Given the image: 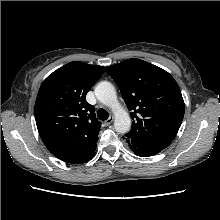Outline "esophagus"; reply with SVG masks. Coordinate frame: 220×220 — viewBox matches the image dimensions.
<instances>
[{
	"instance_id": "1",
	"label": "esophagus",
	"mask_w": 220,
	"mask_h": 220,
	"mask_svg": "<svg viewBox=\"0 0 220 220\" xmlns=\"http://www.w3.org/2000/svg\"><path fill=\"white\" fill-rule=\"evenodd\" d=\"M113 116H110L107 120L104 121L105 126L110 125L113 122Z\"/></svg>"
}]
</instances>
